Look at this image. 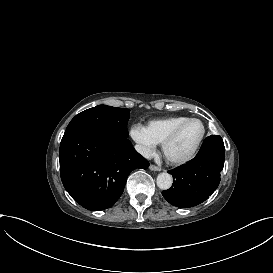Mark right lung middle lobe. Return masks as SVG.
I'll return each mask as SVG.
<instances>
[{
  "mask_svg": "<svg viewBox=\"0 0 273 273\" xmlns=\"http://www.w3.org/2000/svg\"><path fill=\"white\" fill-rule=\"evenodd\" d=\"M129 113V109L106 105L87 109L70 121L64 135L72 132L91 131L106 136L128 138Z\"/></svg>",
  "mask_w": 273,
  "mask_h": 273,
  "instance_id": "dd1d6c3e",
  "label": "right lung middle lobe"
}]
</instances>
